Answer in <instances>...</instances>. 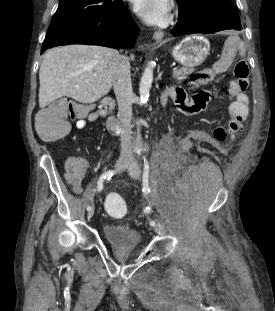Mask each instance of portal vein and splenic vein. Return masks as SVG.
I'll return each mask as SVG.
<instances>
[{
	"mask_svg": "<svg viewBox=\"0 0 275 311\" xmlns=\"http://www.w3.org/2000/svg\"><path fill=\"white\" fill-rule=\"evenodd\" d=\"M172 71H173V73H176L178 71V69L175 67V68H172Z\"/></svg>",
	"mask_w": 275,
	"mask_h": 311,
	"instance_id": "1",
	"label": "portal vein and splenic vein"
}]
</instances>
